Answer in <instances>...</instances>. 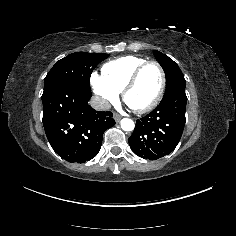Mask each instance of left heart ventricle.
<instances>
[{
    "instance_id": "obj_1",
    "label": "left heart ventricle",
    "mask_w": 236,
    "mask_h": 236,
    "mask_svg": "<svg viewBox=\"0 0 236 236\" xmlns=\"http://www.w3.org/2000/svg\"><path fill=\"white\" fill-rule=\"evenodd\" d=\"M161 81L159 69L150 65L140 74L136 84L127 94V103L133 108H142L155 98Z\"/></svg>"
}]
</instances>
